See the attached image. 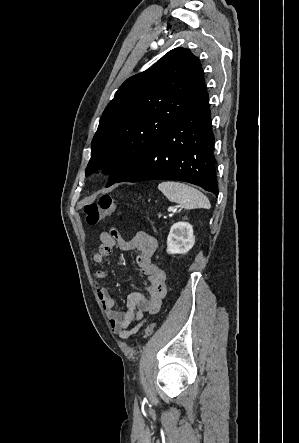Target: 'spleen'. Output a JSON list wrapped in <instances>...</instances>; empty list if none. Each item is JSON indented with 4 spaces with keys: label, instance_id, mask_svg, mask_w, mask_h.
I'll use <instances>...</instances> for the list:
<instances>
[{
    "label": "spleen",
    "instance_id": "spleen-1",
    "mask_svg": "<svg viewBox=\"0 0 299 443\" xmlns=\"http://www.w3.org/2000/svg\"><path fill=\"white\" fill-rule=\"evenodd\" d=\"M158 189L171 202L182 205L185 209H210L208 198L196 188L180 182L166 181L158 185Z\"/></svg>",
    "mask_w": 299,
    "mask_h": 443
}]
</instances>
